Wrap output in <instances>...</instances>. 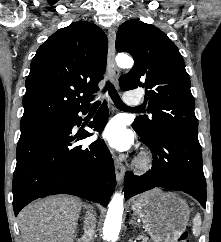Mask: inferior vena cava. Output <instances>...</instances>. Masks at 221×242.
Segmentation results:
<instances>
[{
    "label": "inferior vena cava",
    "mask_w": 221,
    "mask_h": 242,
    "mask_svg": "<svg viewBox=\"0 0 221 242\" xmlns=\"http://www.w3.org/2000/svg\"><path fill=\"white\" fill-rule=\"evenodd\" d=\"M95 214L91 207H87L86 216L84 218V234L83 242H92L95 233Z\"/></svg>",
    "instance_id": "1"
}]
</instances>
